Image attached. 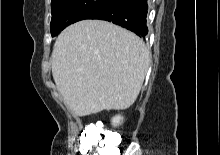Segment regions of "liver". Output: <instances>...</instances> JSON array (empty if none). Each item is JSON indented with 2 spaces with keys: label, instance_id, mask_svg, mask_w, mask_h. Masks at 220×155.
Returning a JSON list of instances; mask_svg holds the SVG:
<instances>
[{
  "label": "liver",
  "instance_id": "1",
  "mask_svg": "<svg viewBox=\"0 0 220 155\" xmlns=\"http://www.w3.org/2000/svg\"><path fill=\"white\" fill-rule=\"evenodd\" d=\"M149 51L135 34L101 20L65 28L52 52V75L76 116L124 110L137 99Z\"/></svg>",
  "mask_w": 220,
  "mask_h": 155
}]
</instances>
